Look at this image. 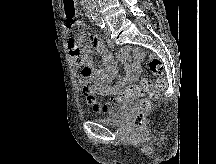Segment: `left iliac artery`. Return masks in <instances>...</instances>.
<instances>
[{"label": "left iliac artery", "mask_w": 216, "mask_h": 164, "mask_svg": "<svg viewBox=\"0 0 216 164\" xmlns=\"http://www.w3.org/2000/svg\"><path fill=\"white\" fill-rule=\"evenodd\" d=\"M93 20H95L96 24L101 27V28H104L105 27V22L102 18L100 17H95L93 18Z\"/></svg>", "instance_id": "left-iliac-artery-1"}]
</instances>
